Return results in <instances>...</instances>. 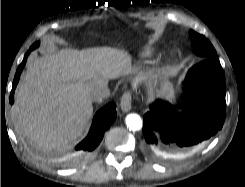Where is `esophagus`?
Wrapping results in <instances>:
<instances>
[{
	"label": "esophagus",
	"instance_id": "1",
	"mask_svg": "<svg viewBox=\"0 0 245 187\" xmlns=\"http://www.w3.org/2000/svg\"><path fill=\"white\" fill-rule=\"evenodd\" d=\"M132 97L130 91H125L120 100V107L123 112H128L132 108Z\"/></svg>",
	"mask_w": 245,
	"mask_h": 187
}]
</instances>
